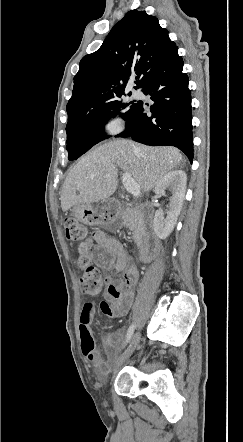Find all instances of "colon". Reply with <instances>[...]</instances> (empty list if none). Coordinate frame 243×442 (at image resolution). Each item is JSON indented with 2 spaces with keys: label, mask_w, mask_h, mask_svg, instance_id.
I'll return each mask as SVG.
<instances>
[{
  "label": "colon",
  "mask_w": 243,
  "mask_h": 442,
  "mask_svg": "<svg viewBox=\"0 0 243 442\" xmlns=\"http://www.w3.org/2000/svg\"><path fill=\"white\" fill-rule=\"evenodd\" d=\"M64 228L68 240L79 242L78 265L82 269L80 279L81 289L88 295H97L102 291L105 280L102 278L98 268L93 266L92 246L93 243L88 237L87 227L74 218L64 220Z\"/></svg>",
  "instance_id": "colon-1"
}]
</instances>
